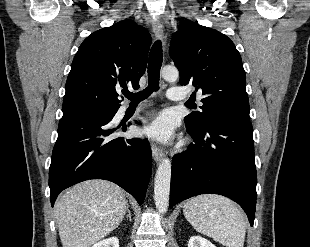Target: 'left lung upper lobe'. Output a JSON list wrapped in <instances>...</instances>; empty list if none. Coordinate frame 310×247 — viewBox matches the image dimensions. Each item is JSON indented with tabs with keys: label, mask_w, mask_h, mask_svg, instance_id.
I'll return each instance as SVG.
<instances>
[{
	"label": "left lung upper lobe",
	"mask_w": 310,
	"mask_h": 247,
	"mask_svg": "<svg viewBox=\"0 0 310 247\" xmlns=\"http://www.w3.org/2000/svg\"><path fill=\"white\" fill-rule=\"evenodd\" d=\"M169 54L180 84L193 85L202 96V111L186 116L185 123L201 131L219 120L249 121L245 71L229 37L187 20L175 33Z\"/></svg>",
	"instance_id": "obj_1"
}]
</instances>
